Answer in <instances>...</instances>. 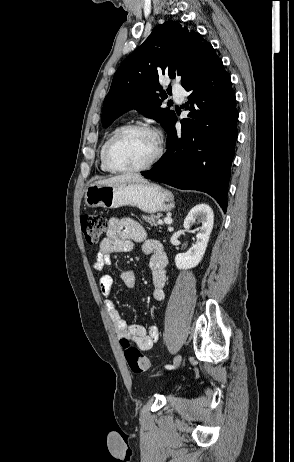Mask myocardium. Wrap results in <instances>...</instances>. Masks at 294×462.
I'll list each match as a JSON object with an SVG mask.
<instances>
[{
    "label": "myocardium",
    "mask_w": 294,
    "mask_h": 462,
    "mask_svg": "<svg viewBox=\"0 0 294 462\" xmlns=\"http://www.w3.org/2000/svg\"><path fill=\"white\" fill-rule=\"evenodd\" d=\"M132 130H142L151 133L156 139V151L153 156L143 165L134 168H121L115 166L111 161V150L117 140L125 133ZM163 154V144L158 132L151 126L143 123H128L118 128L105 144L103 150V163L105 167L115 173H138L154 166Z\"/></svg>",
    "instance_id": "obj_1"
}]
</instances>
